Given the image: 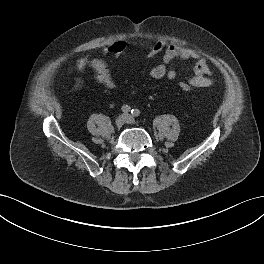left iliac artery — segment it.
<instances>
[{"instance_id":"44dca946","label":"left iliac artery","mask_w":264,"mask_h":264,"mask_svg":"<svg viewBox=\"0 0 264 264\" xmlns=\"http://www.w3.org/2000/svg\"><path fill=\"white\" fill-rule=\"evenodd\" d=\"M131 114L135 117L139 116L140 115V111L138 109H132L131 110Z\"/></svg>"}]
</instances>
